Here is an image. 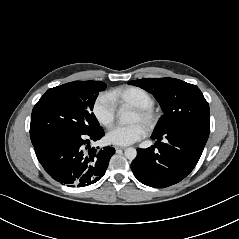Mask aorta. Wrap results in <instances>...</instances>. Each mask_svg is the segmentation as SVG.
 <instances>
[{
	"mask_svg": "<svg viewBox=\"0 0 239 239\" xmlns=\"http://www.w3.org/2000/svg\"><path fill=\"white\" fill-rule=\"evenodd\" d=\"M118 119L121 124H128L132 120V113L129 111H122L120 112ZM124 155L127 159L134 160L137 156V151L135 148L129 147L125 150Z\"/></svg>",
	"mask_w": 239,
	"mask_h": 239,
	"instance_id": "obj_1",
	"label": "aorta"
}]
</instances>
